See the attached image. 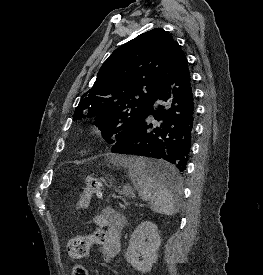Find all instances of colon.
Wrapping results in <instances>:
<instances>
[{"mask_svg": "<svg viewBox=\"0 0 263 275\" xmlns=\"http://www.w3.org/2000/svg\"><path fill=\"white\" fill-rule=\"evenodd\" d=\"M102 196V183L96 178H88L83 187L79 201L78 209H86L91 205L94 198ZM102 239L100 233L95 232L91 235H78L69 240L67 244V255L71 260H81L85 258L94 244H98ZM72 275H89L87 268L80 263L73 267Z\"/></svg>", "mask_w": 263, "mask_h": 275, "instance_id": "colon-1", "label": "colon"}]
</instances>
